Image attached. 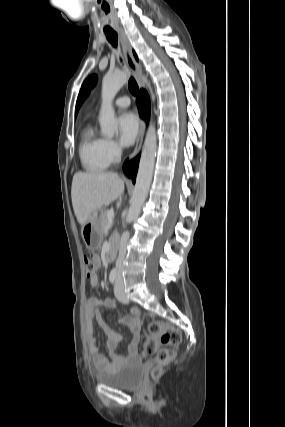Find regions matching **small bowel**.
Returning <instances> with one entry per match:
<instances>
[{"mask_svg": "<svg viewBox=\"0 0 285 427\" xmlns=\"http://www.w3.org/2000/svg\"><path fill=\"white\" fill-rule=\"evenodd\" d=\"M97 265H100L101 260L97 254L91 255ZM89 284L91 287H97L98 279L96 277L90 279ZM102 307L116 308L117 303L114 300L102 301L97 298L88 300L85 308V333L88 349L91 354V359L94 367L98 371H110L114 368L121 367L140 359L139 356V334L140 322L136 316H125L119 319V323L125 326L132 335V340L127 346V354L123 355L117 351L118 345L123 341V336L114 332L103 320L100 309ZM132 312L137 315L138 310L132 309ZM98 322L102 327L106 339L105 347L109 354L107 359L99 350L97 345V338L94 331V323Z\"/></svg>", "mask_w": 285, "mask_h": 427, "instance_id": "obj_1", "label": "small bowel"}]
</instances>
